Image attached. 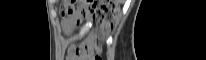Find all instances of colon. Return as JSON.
I'll return each instance as SVG.
<instances>
[{
	"label": "colon",
	"instance_id": "obj_1",
	"mask_svg": "<svg viewBox=\"0 0 206 60\" xmlns=\"http://www.w3.org/2000/svg\"><path fill=\"white\" fill-rule=\"evenodd\" d=\"M118 9L116 0H64L61 6V15L66 20L79 21L85 14H98L100 17V32L105 36L111 27L113 15ZM99 38L94 37L75 49L81 60H101L99 56Z\"/></svg>",
	"mask_w": 206,
	"mask_h": 60
}]
</instances>
